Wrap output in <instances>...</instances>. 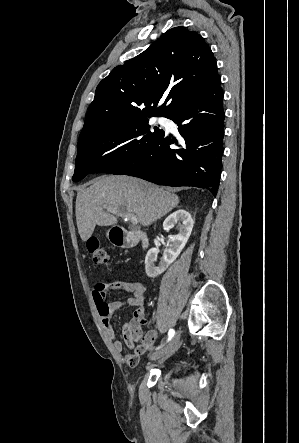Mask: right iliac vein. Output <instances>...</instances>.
<instances>
[{"instance_id": "obj_1", "label": "right iliac vein", "mask_w": 299, "mask_h": 443, "mask_svg": "<svg viewBox=\"0 0 299 443\" xmlns=\"http://www.w3.org/2000/svg\"><path fill=\"white\" fill-rule=\"evenodd\" d=\"M179 343V334H177L168 345H166L163 349L158 352L151 354L150 359L157 360L169 355L178 345Z\"/></svg>"}]
</instances>
